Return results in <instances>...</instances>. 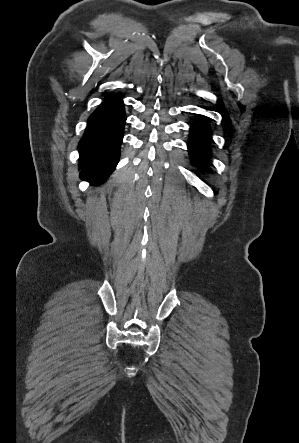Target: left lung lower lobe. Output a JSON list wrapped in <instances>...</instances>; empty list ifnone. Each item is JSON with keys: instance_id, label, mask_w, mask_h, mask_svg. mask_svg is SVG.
Instances as JSON below:
<instances>
[{"instance_id": "obj_1", "label": "left lung lower lobe", "mask_w": 299, "mask_h": 443, "mask_svg": "<svg viewBox=\"0 0 299 443\" xmlns=\"http://www.w3.org/2000/svg\"><path fill=\"white\" fill-rule=\"evenodd\" d=\"M211 131L204 116H201L190 129V140L188 143L189 154L193 162L199 166L207 165L209 158V142Z\"/></svg>"}]
</instances>
